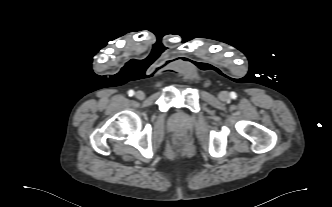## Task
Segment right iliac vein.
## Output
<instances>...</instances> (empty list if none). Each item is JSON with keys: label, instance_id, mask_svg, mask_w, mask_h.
<instances>
[{"label": "right iliac vein", "instance_id": "right-iliac-vein-1", "mask_svg": "<svg viewBox=\"0 0 332 207\" xmlns=\"http://www.w3.org/2000/svg\"><path fill=\"white\" fill-rule=\"evenodd\" d=\"M136 98L139 100H143L145 98V94L142 91H137L135 94Z\"/></svg>", "mask_w": 332, "mask_h": 207}]
</instances>
